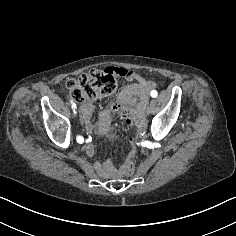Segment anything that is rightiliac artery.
<instances>
[{
	"label": "right iliac artery",
	"mask_w": 236,
	"mask_h": 236,
	"mask_svg": "<svg viewBox=\"0 0 236 236\" xmlns=\"http://www.w3.org/2000/svg\"><path fill=\"white\" fill-rule=\"evenodd\" d=\"M73 106L76 108V105H75V104L72 105V108H73ZM77 142L80 143V144H82V143L84 142V138L81 137V136H78V137H77Z\"/></svg>",
	"instance_id": "obj_1"
}]
</instances>
